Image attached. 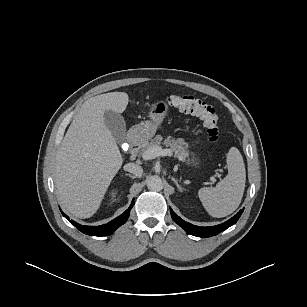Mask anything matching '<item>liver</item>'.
<instances>
[{"label": "liver", "instance_id": "obj_1", "mask_svg": "<svg viewBox=\"0 0 307 307\" xmlns=\"http://www.w3.org/2000/svg\"><path fill=\"white\" fill-rule=\"evenodd\" d=\"M129 96L110 92L85 101L58 149L55 186L63 206L78 218L96 213L123 163L122 155L104 123V112L123 113Z\"/></svg>", "mask_w": 307, "mask_h": 307}]
</instances>
